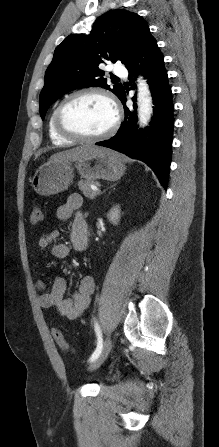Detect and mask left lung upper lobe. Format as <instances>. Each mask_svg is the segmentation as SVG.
I'll use <instances>...</instances> for the list:
<instances>
[{
  "label": "left lung upper lobe",
  "mask_w": 219,
  "mask_h": 447,
  "mask_svg": "<svg viewBox=\"0 0 219 447\" xmlns=\"http://www.w3.org/2000/svg\"><path fill=\"white\" fill-rule=\"evenodd\" d=\"M147 22L138 14L123 9L102 15L89 34L70 35L57 46L45 73L40 93V115L44 119L52 103L79 88L102 87L119 99L125 90L121 84L112 88L99 69L106 61L126 64L150 35Z\"/></svg>",
  "instance_id": "1"
}]
</instances>
